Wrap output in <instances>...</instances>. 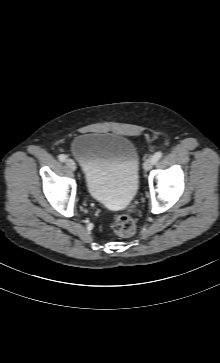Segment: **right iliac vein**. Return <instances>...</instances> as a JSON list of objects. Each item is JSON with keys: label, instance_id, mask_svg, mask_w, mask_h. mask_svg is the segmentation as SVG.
Wrapping results in <instances>:
<instances>
[{"label": "right iliac vein", "instance_id": "obj_1", "mask_svg": "<svg viewBox=\"0 0 220 363\" xmlns=\"http://www.w3.org/2000/svg\"><path fill=\"white\" fill-rule=\"evenodd\" d=\"M66 166L72 170V171H75L76 170V164L75 162L72 160V159H67L66 160Z\"/></svg>", "mask_w": 220, "mask_h": 363}]
</instances>
